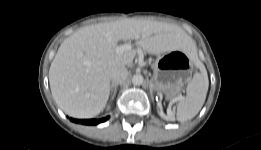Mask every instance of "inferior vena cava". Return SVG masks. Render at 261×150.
Wrapping results in <instances>:
<instances>
[{"mask_svg":"<svg viewBox=\"0 0 261 150\" xmlns=\"http://www.w3.org/2000/svg\"><path fill=\"white\" fill-rule=\"evenodd\" d=\"M128 76V70L125 66H116L111 69L110 79L112 84L123 83Z\"/></svg>","mask_w":261,"mask_h":150,"instance_id":"1","label":"inferior vena cava"}]
</instances>
